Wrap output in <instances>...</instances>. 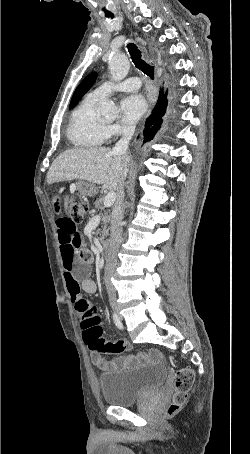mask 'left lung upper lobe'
<instances>
[{
  "label": "left lung upper lobe",
  "mask_w": 250,
  "mask_h": 454,
  "mask_svg": "<svg viewBox=\"0 0 250 454\" xmlns=\"http://www.w3.org/2000/svg\"><path fill=\"white\" fill-rule=\"evenodd\" d=\"M96 79V73L89 74L76 88L73 97L70 102L69 108H73L82 98V96L91 88Z\"/></svg>",
  "instance_id": "left-lung-upper-lobe-1"
}]
</instances>
